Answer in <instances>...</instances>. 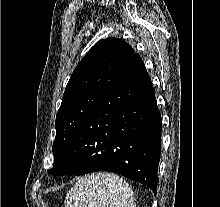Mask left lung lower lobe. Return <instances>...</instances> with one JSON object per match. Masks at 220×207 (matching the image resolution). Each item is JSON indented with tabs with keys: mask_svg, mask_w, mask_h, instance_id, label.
<instances>
[{
	"mask_svg": "<svg viewBox=\"0 0 220 207\" xmlns=\"http://www.w3.org/2000/svg\"><path fill=\"white\" fill-rule=\"evenodd\" d=\"M161 115L151 79L134 56L49 173H119L157 193Z\"/></svg>",
	"mask_w": 220,
	"mask_h": 207,
	"instance_id": "0a47b994",
	"label": "left lung lower lobe"
}]
</instances>
